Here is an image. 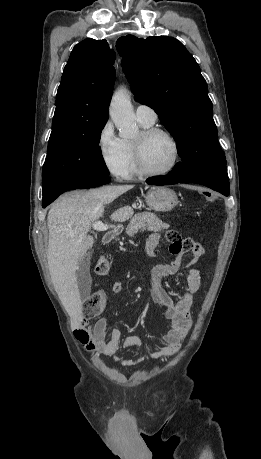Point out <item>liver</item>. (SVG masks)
<instances>
[{
  "label": "liver",
  "mask_w": 261,
  "mask_h": 459,
  "mask_svg": "<svg viewBox=\"0 0 261 459\" xmlns=\"http://www.w3.org/2000/svg\"><path fill=\"white\" fill-rule=\"evenodd\" d=\"M133 185L103 186L88 191H73L62 196L49 210L47 260L54 288L71 319L72 329L82 319V301L76 272L94 238L88 235L92 224L102 217L105 205L127 192ZM133 214L124 206L112 214L124 221Z\"/></svg>",
  "instance_id": "obj_1"
}]
</instances>
